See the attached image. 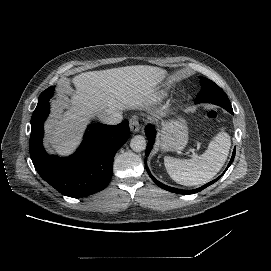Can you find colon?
<instances>
[{
	"instance_id": "1",
	"label": "colon",
	"mask_w": 271,
	"mask_h": 271,
	"mask_svg": "<svg viewBox=\"0 0 271 271\" xmlns=\"http://www.w3.org/2000/svg\"><path fill=\"white\" fill-rule=\"evenodd\" d=\"M217 112H215V111H209L208 113H207V117L208 118H210V119H216L217 118Z\"/></svg>"
}]
</instances>
